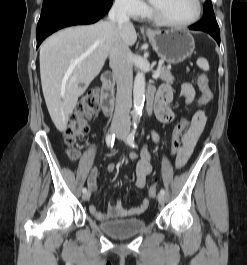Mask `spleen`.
<instances>
[{
    "instance_id": "3e777b00",
    "label": "spleen",
    "mask_w": 247,
    "mask_h": 265,
    "mask_svg": "<svg viewBox=\"0 0 247 265\" xmlns=\"http://www.w3.org/2000/svg\"><path fill=\"white\" fill-rule=\"evenodd\" d=\"M197 65H198L201 69H203V70H205V71H208V70H209V64H208V61H207L205 58H199V59L197 60Z\"/></svg>"
}]
</instances>
